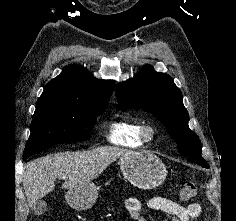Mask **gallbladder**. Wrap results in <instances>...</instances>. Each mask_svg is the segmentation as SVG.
<instances>
[{
	"label": "gallbladder",
	"instance_id": "bac80fb5",
	"mask_svg": "<svg viewBox=\"0 0 236 221\" xmlns=\"http://www.w3.org/2000/svg\"><path fill=\"white\" fill-rule=\"evenodd\" d=\"M32 209L36 215H42L46 211L47 205L43 200H38L33 204Z\"/></svg>",
	"mask_w": 236,
	"mask_h": 221
}]
</instances>
